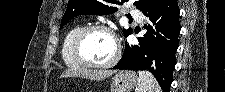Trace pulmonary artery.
<instances>
[{
	"label": "pulmonary artery",
	"mask_w": 225,
	"mask_h": 92,
	"mask_svg": "<svg viewBox=\"0 0 225 92\" xmlns=\"http://www.w3.org/2000/svg\"><path fill=\"white\" fill-rule=\"evenodd\" d=\"M131 15L138 21V22H142L143 21V16L140 12L137 11H132Z\"/></svg>",
	"instance_id": "pulmonary-artery-1"
}]
</instances>
